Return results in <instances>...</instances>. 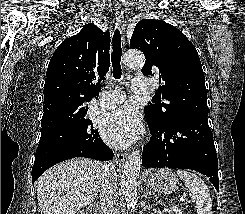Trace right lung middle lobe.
<instances>
[{"mask_svg": "<svg viewBox=\"0 0 245 214\" xmlns=\"http://www.w3.org/2000/svg\"><path fill=\"white\" fill-rule=\"evenodd\" d=\"M95 138L92 122L86 113L57 127L43 129L40 141L69 140L79 147L88 146Z\"/></svg>", "mask_w": 245, "mask_h": 214, "instance_id": "right-lung-middle-lobe-1", "label": "right lung middle lobe"}]
</instances>
